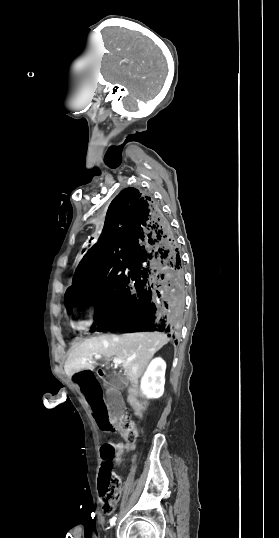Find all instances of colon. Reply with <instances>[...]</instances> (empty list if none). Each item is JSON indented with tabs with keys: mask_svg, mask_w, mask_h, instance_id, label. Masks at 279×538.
<instances>
[{
	"mask_svg": "<svg viewBox=\"0 0 279 538\" xmlns=\"http://www.w3.org/2000/svg\"><path fill=\"white\" fill-rule=\"evenodd\" d=\"M116 429L128 443H134L138 438L137 425L129 416H123L117 423ZM100 453L102 466L99 474V492L104 513H110L113 510L121 481L112 471L111 462L116 454L114 448L106 443L101 446Z\"/></svg>",
	"mask_w": 279,
	"mask_h": 538,
	"instance_id": "obj_1",
	"label": "colon"
}]
</instances>
